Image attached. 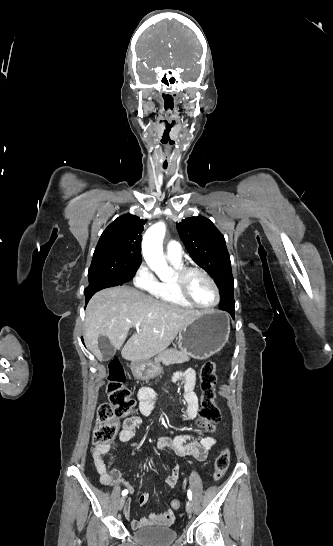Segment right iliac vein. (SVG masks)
I'll use <instances>...</instances> for the list:
<instances>
[{
	"label": "right iliac vein",
	"mask_w": 333,
	"mask_h": 546,
	"mask_svg": "<svg viewBox=\"0 0 333 546\" xmlns=\"http://www.w3.org/2000/svg\"><path fill=\"white\" fill-rule=\"evenodd\" d=\"M124 503H125V496H123V497H121L119 499V506H118L119 510H121L123 508Z\"/></svg>",
	"instance_id": "63e3f726"
}]
</instances>
